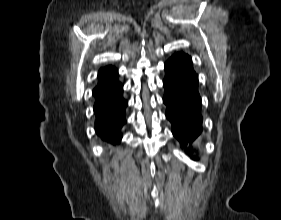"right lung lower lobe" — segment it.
<instances>
[{"label": "right lung lower lobe", "mask_w": 281, "mask_h": 220, "mask_svg": "<svg viewBox=\"0 0 281 220\" xmlns=\"http://www.w3.org/2000/svg\"><path fill=\"white\" fill-rule=\"evenodd\" d=\"M122 91V84L118 81L97 86L93 90L95 129L99 137L107 143H119L122 137L120 130L126 122L124 110L127 106Z\"/></svg>", "instance_id": "98d812e1"}]
</instances>
